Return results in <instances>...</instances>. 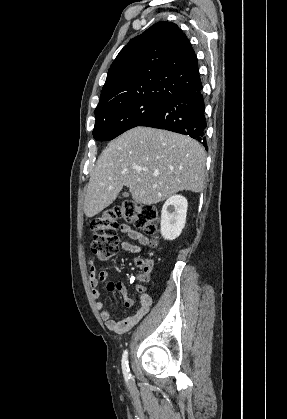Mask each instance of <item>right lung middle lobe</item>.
<instances>
[{"label":"right lung middle lobe","instance_id":"obj_1","mask_svg":"<svg viewBox=\"0 0 287 419\" xmlns=\"http://www.w3.org/2000/svg\"><path fill=\"white\" fill-rule=\"evenodd\" d=\"M162 100H137L95 114L93 137L112 140L123 132L139 126L164 103Z\"/></svg>","mask_w":287,"mask_h":419}]
</instances>
